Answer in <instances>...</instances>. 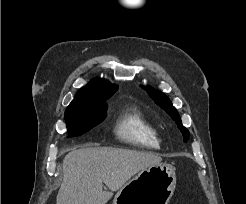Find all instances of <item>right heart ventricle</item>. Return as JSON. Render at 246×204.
<instances>
[{
    "label": "right heart ventricle",
    "instance_id": "obj_1",
    "mask_svg": "<svg viewBox=\"0 0 246 204\" xmlns=\"http://www.w3.org/2000/svg\"><path fill=\"white\" fill-rule=\"evenodd\" d=\"M116 138L129 146L156 149L160 146L157 128L137 108L123 110L114 126Z\"/></svg>",
    "mask_w": 246,
    "mask_h": 204
}]
</instances>
